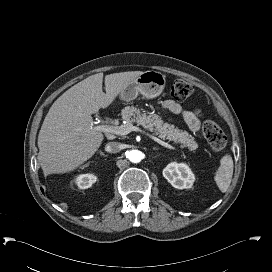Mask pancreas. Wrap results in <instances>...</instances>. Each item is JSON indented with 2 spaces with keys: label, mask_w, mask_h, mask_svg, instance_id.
Returning <instances> with one entry per match:
<instances>
[{
  "label": "pancreas",
  "mask_w": 272,
  "mask_h": 272,
  "mask_svg": "<svg viewBox=\"0 0 272 272\" xmlns=\"http://www.w3.org/2000/svg\"><path fill=\"white\" fill-rule=\"evenodd\" d=\"M121 116L126 124L136 123L141 125L150 132H153L154 135L162 139L180 143L181 147H188L193 152L198 148V143L194 140L193 136L189 135L186 131H180L173 125L164 123L157 114L149 113L134 106H126L122 109Z\"/></svg>",
  "instance_id": "cf45deb5"
}]
</instances>
